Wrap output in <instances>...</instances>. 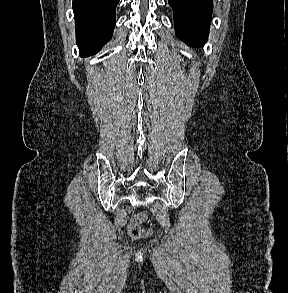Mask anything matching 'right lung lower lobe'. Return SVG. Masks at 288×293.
I'll return each instance as SVG.
<instances>
[{"label":"right lung lower lobe","instance_id":"98d812e1","mask_svg":"<svg viewBox=\"0 0 288 293\" xmlns=\"http://www.w3.org/2000/svg\"><path fill=\"white\" fill-rule=\"evenodd\" d=\"M119 0H73L76 42L81 57L97 53L112 37Z\"/></svg>","mask_w":288,"mask_h":293}]
</instances>
